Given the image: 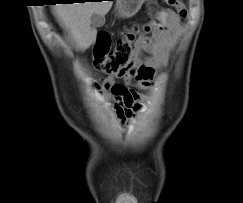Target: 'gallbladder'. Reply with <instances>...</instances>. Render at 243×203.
Instances as JSON below:
<instances>
[{
    "mask_svg": "<svg viewBox=\"0 0 243 203\" xmlns=\"http://www.w3.org/2000/svg\"><path fill=\"white\" fill-rule=\"evenodd\" d=\"M91 24L94 27H102L105 24L104 15L93 13L91 16Z\"/></svg>",
    "mask_w": 243,
    "mask_h": 203,
    "instance_id": "gallbladder-1",
    "label": "gallbladder"
}]
</instances>
